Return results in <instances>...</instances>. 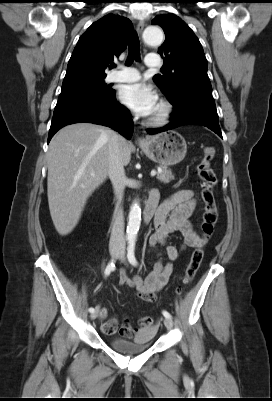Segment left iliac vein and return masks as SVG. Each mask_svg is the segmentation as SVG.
<instances>
[{
	"instance_id": "4c4485c4",
	"label": "left iliac vein",
	"mask_w": 272,
	"mask_h": 401,
	"mask_svg": "<svg viewBox=\"0 0 272 401\" xmlns=\"http://www.w3.org/2000/svg\"><path fill=\"white\" fill-rule=\"evenodd\" d=\"M117 257H118V259H119L120 261H122V262H125V261H126L124 247H121V250H120V252L118 253ZM164 325H165V327H166L167 329H171V328L173 327V321H172V319H171V318H165V319H164Z\"/></svg>"
}]
</instances>
